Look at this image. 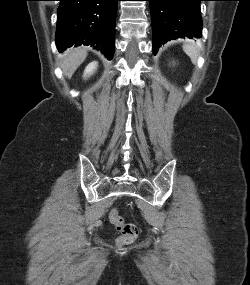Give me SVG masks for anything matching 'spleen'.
Returning a JSON list of instances; mask_svg holds the SVG:
<instances>
[{"label": "spleen", "mask_w": 250, "mask_h": 285, "mask_svg": "<svg viewBox=\"0 0 250 285\" xmlns=\"http://www.w3.org/2000/svg\"><path fill=\"white\" fill-rule=\"evenodd\" d=\"M184 52L190 57L193 64H197L200 50L199 46L195 42H188L183 45Z\"/></svg>", "instance_id": "spleen-1"}]
</instances>
